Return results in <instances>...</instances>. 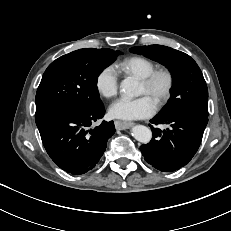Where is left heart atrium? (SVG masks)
<instances>
[{"label": "left heart atrium", "mask_w": 231, "mask_h": 231, "mask_svg": "<svg viewBox=\"0 0 231 231\" xmlns=\"http://www.w3.org/2000/svg\"><path fill=\"white\" fill-rule=\"evenodd\" d=\"M156 110L154 101L149 96L137 98L121 97L109 108L112 117L121 120H135L151 116Z\"/></svg>", "instance_id": "1"}]
</instances>
